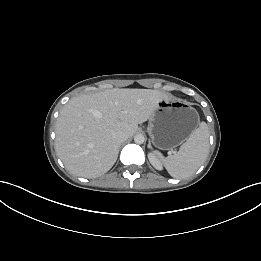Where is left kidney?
I'll use <instances>...</instances> for the list:
<instances>
[{
    "mask_svg": "<svg viewBox=\"0 0 261 261\" xmlns=\"http://www.w3.org/2000/svg\"><path fill=\"white\" fill-rule=\"evenodd\" d=\"M148 159L154 168H156L157 170H162V164L154 153L150 152L148 154Z\"/></svg>",
    "mask_w": 261,
    "mask_h": 261,
    "instance_id": "obj_1",
    "label": "left kidney"
}]
</instances>
